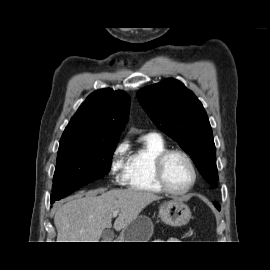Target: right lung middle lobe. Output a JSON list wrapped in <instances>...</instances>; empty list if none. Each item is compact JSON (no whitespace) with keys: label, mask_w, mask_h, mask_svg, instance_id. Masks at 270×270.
I'll use <instances>...</instances> for the list:
<instances>
[{"label":"right lung middle lobe","mask_w":270,"mask_h":270,"mask_svg":"<svg viewBox=\"0 0 270 270\" xmlns=\"http://www.w3.org/2000/svg\"><path fill=\"white\" fill-rule=\"evenodd\" d=\"M116 144L117 141L60 140L51 201L104 176L110 170Z\"/></svg>","instance_id":"dd1d6c3e"}]
</instances>
